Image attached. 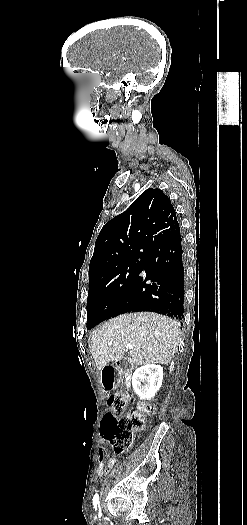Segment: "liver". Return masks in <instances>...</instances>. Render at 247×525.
<instances>
[{"label": "liver", "mask_w": 247, "mask_h": 525, "mask_svg": "<svg viewBox=\"0 0 247 525\" xmlns=\"http://www.w3.org/2000/svg\"><path fill=\"white\" fill-rule=\"evenodd\" d=\"M179 337L180 323L166 315L125 313L92 331L88 343L97 371H101L108 363L122 359H128L134 367L168 365L177 351ZM126 347L134 349L128 351Z\"/></svg>", "instance_id": "obj_1"}]
</instances>
